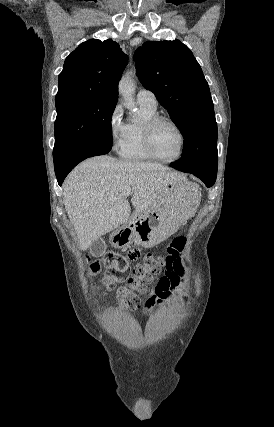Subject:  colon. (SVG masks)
<instances>
[{
  "mask_svg": "<svg viewBox=\"0 0 274 427\" xmlns=\"http://www.w3.org/2000/svg\"><path fill=\"white\" fill-rule=\"evenodd\" d=\"M166 252L162 256L153 254L144 255L143 264L135 267L127 280L128 288L120 286L123 275L127 272V265L125 264L126 256L111 252L103 257L107 274L102 281V286L107 292L117 290L121 304L130 310H134L138 304L135 293L144 292L146 283L155 274L165 271L167 267ZM93 264L99 267L100 260H95Z\"/></svg>",
  "mask_w": 274,
  "mask_h": 427,
  "instance_id": "5ec220e1",
  "label": "colon"
}]
</instances>
